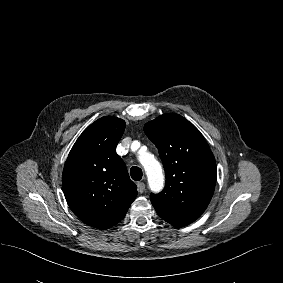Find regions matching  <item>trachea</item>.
Here are the masks:
<instances>
[{
    "mask_svg": "<svg viewBox=\"0 0 283 283\" xmlns=\"http://www.w3.org/2000/svg\"><path fill=\"white\" fill-rule=\"evenodd\" d=\"M130 174H131L132 179L135 181H140L143 175L142 170L137 166H133L130 169Z\"/></svg>",
    "mask_w": 283,
    "mask_h": 283,
    "instance_id": "obj_1",
    "label": "trachea"
}]
</instances>
